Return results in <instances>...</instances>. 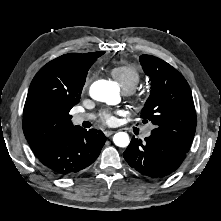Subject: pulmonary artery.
<instances>
[{"instance_id":"e3ab8cb5","label":"pulmonary artery","mask_w":221,"mask_h":221,"mask_svg":"<svg viewBox=\"0 0 221 221\" xmlns=\"http://www.w3.org/2000/svg\"><path fill=\"white\" fill-rule=\"evenodd\" d=\"M92 119H94L93 114H84V113L76 114L73 117V121L75 124H82L83 122L90 121ZM150 134H151V128H148L145 130L143 135L144 137H148L150 136Z\"/></svg>"}]
</instances>
